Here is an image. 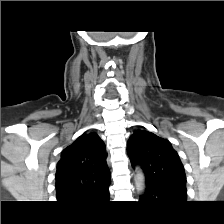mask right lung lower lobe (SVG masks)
I'll list each match as a JSON object with an SVG mask.
<instances>
[{"label": "right lung lower lobe", "mask_w": 224, "mask_h": 224, "mask_svg": "<svg viewBox=\"0 0 224 224\" xmlns=\"http://www.w3.org/2000/svg\"><path fill=\"white\" fill-rule=\"evenodd\" d=\"M99 200L108 201L109 200V191L107 193H105Z\"/></svg>", "instance_id": "right-lung-lower-lobe-1"}]
</instances>
